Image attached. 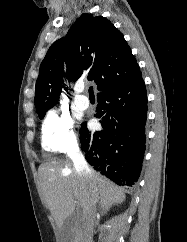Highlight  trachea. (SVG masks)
<instances>
[{
  "label": "trachea",
  "instance_id": "trachea-1",
  "mask_svg": "<svg viewBox=\"0 0 187 242\" xmlns=\"http://www.w3.org/2000/svg\"><path fill=\"white\" fill-rule=\"evenodd\" d=\"M89 97H90V98H94V97H95V95H94V91H93V86H90V87H89Z\"/></svg>",
  "mask_w": 187,
  "mask_h": 242
}]
</instances>
